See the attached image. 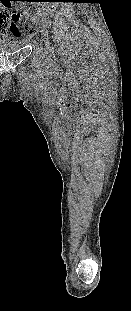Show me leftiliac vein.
<instances>
[{
  "mask_svg": "<svg viewBox=\"0 0 131 311\" xmlns=\"http://www.w3.org/2000/svg\"><path fill=\"white\" fill-rule=\"evenodd\" d=\"M41 37L43 41L45 42V45L48 49H50V44H49V34H48V29L46 27H42L41 29Z\"/></svg>",
  "mask_w": 131,
  "mask_h": 311,
  "instance_id": "left-iliac-vein-1",
  "label": "left iliac vein"
}]
</instances>
